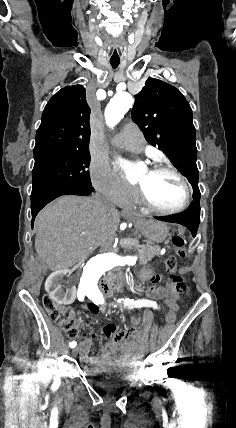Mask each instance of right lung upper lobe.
Listing matches in <instances>:
<instances>
[{
  "label": "right lung upper lobe",
  "instance_id": "obj_1",
  "mask_svg": "<svg viewBox=\"0 0 236 428\" xmlns=\"http://www.w3.org/2000/svg\"><path fill=\"white\" fill-rule=\"evenodd\" d=\"M89 114L83 86H67L58 91L43 111L34 151L89 149Z\"/></svg>",
  "mask_w": 236,
  "mask_h": 428
}]
</instances>
